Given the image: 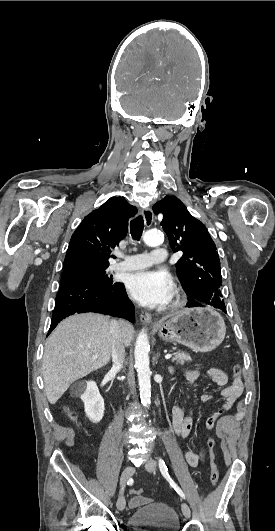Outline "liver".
<instances>
[{"label": "liver", "mask_w": 275, "mask_h": 531, "mask_svg": "<svg viewBox=\"0 0 275 531\" xmlns=\"http://www.w3.org/2000/svg\"><path fill=\"white\" fill-rule=\"evenodd\" d=\"M109 317L82 313L68 317L48 337L44 349L42 373L46 397L55 405L70 385L110 361L112 345ZM124 345L133 339V327L119 321ZM97 355L98 359H92Z\"/></svg>", "instance_id": "obj_1"}]
</instances>
